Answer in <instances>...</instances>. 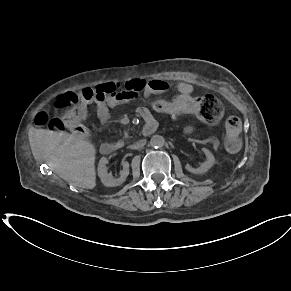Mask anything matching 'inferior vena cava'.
I'll return each mask as SVG.
<instances>
[{"mask_svg": "<svg viewBox=\"0 0 291 291\" xmlns=\"http://www.w3.org/2000/svg\"><path fill=\"white\" fill-rule=\"evenodd\" d=\"M145 144H146V140L143 139V140H139L136 143L132 144L130 147L132 149H139V148L143 147Z\"/></svg>", "mask_w": 291, "mask_h": 291, "instance_id": "1", "label": "inferior vena cava"}]
</instances>
